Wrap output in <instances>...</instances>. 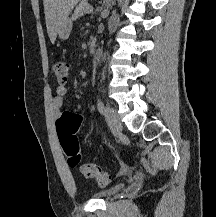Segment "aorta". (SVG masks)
Wrapping results in <instances>:
<instances>
[{
  "mask_svg": "<svg viewBox=\"0 0 216 217\" xmlns=\"http://www.w3.org/2000/svg\"><path fill=\"white\" fill-rule=\"evenodd\" d=\"M102 54H103L102 48H98L97 53H96V60H97L98 63L100 62Z\"/></svg>",
  "mask_w": 216,
  "mask_h": 217,
  "instance_id": "762f6f07",
  "label": "aorta"
}]
</instances>
